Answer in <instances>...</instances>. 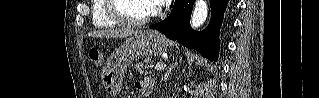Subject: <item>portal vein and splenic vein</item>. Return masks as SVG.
I'll return each mask as SVG.
<instances>
[{"mask_svg": "<svg viewBox=\"0 0 319 98\" xmlns=\"http://www.w3.org/2000/svg\"><path fill=\"white\" fill-rule=\"evenodd\" d=\"M166 67V65L164 63H158L155 66V70L160 71V70H164Z\"/></svg>", "mask_w": 319, "mask_h": 98, "instance_id": "portal-vein-and-splenic-vein-1", "label": "portal vein and splenic vein"}]
</instances>
